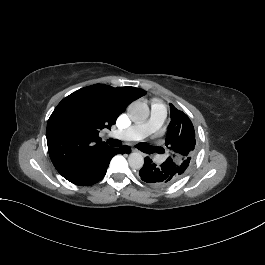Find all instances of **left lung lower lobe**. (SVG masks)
<instances>
[{"mask_svg":"<svg viewBox=\"0 0 265 265\" xmlns=\"http://www.w3.org/2000/svg\"><path fill=\"white\" fill-rule=\"evenodd\" d=\"M139 175L144 182L153 186H167L181 178V171L171 160L166 159L162 164L156 165L149 157H145Z\"/></svg>","mask_w":265,"mask_h":265,"instance_id":"obj_1","label":"left lung lower lobe"}]
</instances>
